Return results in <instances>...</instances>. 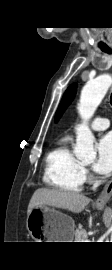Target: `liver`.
<instances>
[{
	"instance_id": "6515ba94",
	"label": "liver",
	"mask_w": 112,
	"mask_h": 270,
	"mask_svg": "<svg viewBox=\"0 0 112 270\" xmlns=\"http://www.w3.org/2000/svg\"><path fill=\"white\" fill-rule=\"evenodd\" d=\"M90 198L83 194L64 191L61 189H37L32 195L27 214L37 206H52L73 213H80L89 204Z\"/></svg>"
}]
</instances>
